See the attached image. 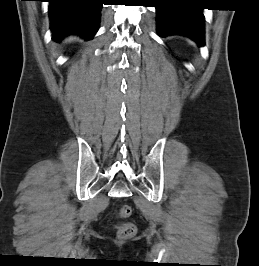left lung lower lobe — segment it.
<instances>
[{"mask_svg": "<svg viewBox=\"0 0 259 266\" xmlns=\"http://www.w3.org/2000/svg\"><path fill=\"white\" fill-rule=\"evenodd\" d=\"M156 3L160 36L180 34L204 44L202 8L190 7L184 0H157Z\"/></svg>", "mask_w": 259, "mask_h": 266, "instance_id": "1", "label": "left lung lower lobe"}]
</instances>
